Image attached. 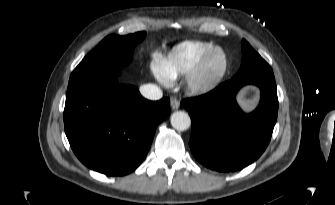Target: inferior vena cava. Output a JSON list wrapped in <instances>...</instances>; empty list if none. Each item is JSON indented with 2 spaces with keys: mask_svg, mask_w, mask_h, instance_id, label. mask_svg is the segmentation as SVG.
Masks as SVG:
<instances>
[{
  "mask_svg": "<svg viewBox=\"0 0 335 205\" xmlns=\"http://www.w3.org/2000/svg\"><path fill=\"white\" fill-rule=\"evenodd\" d=\"M140 93L143 97L150 100H159L163 96L161 89L154 84H145L140 86Z\"/></svg>",
  "mask_w": 335,
  "mask_h": 205,
  "instance_id": "inferior-vena-cava-1",
  "label": "inferior vena cava"
}]
</instances>
